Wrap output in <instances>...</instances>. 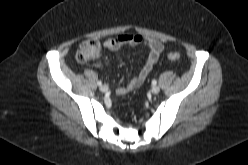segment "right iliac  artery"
<instances>
[{
  "mask_svg": "<svg viewBox=\"0 0 248 165\" xmlns=\"http://www.w3.org/2000/svg\"><path fill=\"white\" fill-rule=\"evenodd\" d=\"M97 84H98L99 86H101V85H102V82H101V81H98Z\"/></svg>",
  "mask_w": 248,
  "mask_h": 165,
  "instance_id": "82829eb1",
  "label": "right iliac artery"
}]
</instances>
